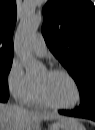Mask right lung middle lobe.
Instances as JSON below:
<instances>
[{
    "instance_id": "right-lung-middle-lobe-1",
    "label": "right lung middle lobe",
    "mask_w": 95,
    "mask_h": 130,
    "mask_svg": "<svg viewBox=\"0 0 95 130\" xmlns=\"http://www.w3.org/2000/svg\"><path fill=\"white\" fill-rule=\"evenodd\" d=\"M12 66V59L0 60V92L8 93V80L7 75L10 72Z\"/></svg>"
}]
</instances>
